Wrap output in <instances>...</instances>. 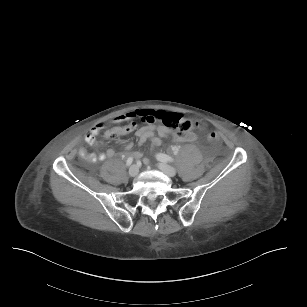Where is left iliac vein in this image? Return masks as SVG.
Instances as JSON below:
<instances>
[{"label": "left iliac vein", "mask_w": 307, "mask_h": 307, "mask_svg": "<svg viewBox=\"0 0 307 307\" xmlns=\"http://www.w3.org/2000/svg\"><path fill=\"white\" fill-rule=\"evenodd\" d=\"M159 169L169 177H174L176 175V169L168 164L160 163L158 165Z\"/></svg>", "instance_id": "obj_1"}]
</instances>
